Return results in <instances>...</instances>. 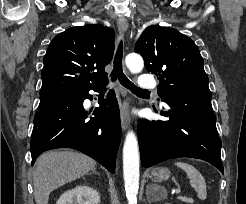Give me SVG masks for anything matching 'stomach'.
I'll list each match as a JSON object with an SVG mask.
<instances>
[{
  "label": "stomach",
  "instance_id": "0dacf381",
  "mask_svg": "<svg viewBox=\"0 0 246 204\" xmlns=\"http://www.w3.org/2000/svg\"><path fill=\"white\" fill-rule=\"evenodd\" d=\"M170 171L164 167H157L150 171L149 177L153 182H162L169 178Z\"/></svg>",
  "mask_w": 246,
  "mask_h": 204
}]
</instances>
